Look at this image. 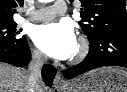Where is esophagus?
<instances>
[{"label": "esophagus", "instance_id": "1", "mask_svg": "<svg viewBox=\"0 0 127 92\" xmlns=\"http://www.w3.org/2000/svg\"><path fill=\"white\" fill-rule=\"evenodd\" d=\"M66 86H67V83L63 80L60 72H57L55 79H54V87L55 88H63Z\"/></svg>", "mask_w": 127, "mask_h": 92}]
</instances>
